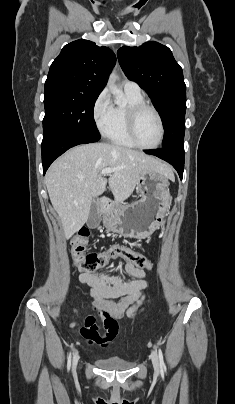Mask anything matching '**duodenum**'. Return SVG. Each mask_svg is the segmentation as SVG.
<instances>
[{"label": "duodenum", "mask_w": 235, "mask_h": 404, "mask_svg": "<svg viewBox=\"0 0 235 404\" xmlns=\"http://www.w3.org/2000/svg\"><path fill=\"white\" fill-rule=\"evenodd\" d=\"M99 209L100 212L104 215V216H109L111 215L114 211L112 210V203L109 202L106 199H101L99 201Z\"/></svg>", "instance_id": "1"}]
</instances>
